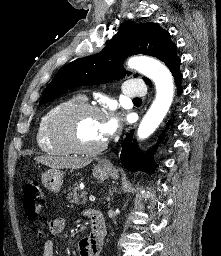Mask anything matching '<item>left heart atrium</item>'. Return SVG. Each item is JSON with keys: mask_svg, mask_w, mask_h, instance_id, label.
<instances>
[{"mask_svg": "<svg viewBox=\"0 0 221 256\" xmlns=\"http://www.w3.org/2000/svg\"><path fill=\"white\" fill-rule=\"evenodd\" d=\"M119 118L117 115L111 113L103 117L102 133L105 138L112 136L119 128Z\"/></svg>", "mask_w": 221, "mask_h": 256, "instance_id": "1", "label": "left heart atrium"}]
</instances>
